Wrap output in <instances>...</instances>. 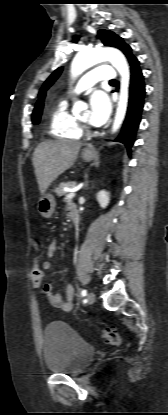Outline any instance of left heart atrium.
<instances>
[{
	"label": "left heart atrium",
	"mask_w": 168,
	"mask_h": 415,
	"mask_svg": "<svg viewBox=\"0 0 168 415\" xmlns=\"http://www.w3.org/2000/svg\"><path fill=\"white\" fill-rule=\"evenodd\" d=\"M111 103L107 94L97 90L90 97L89 123L102 126L109 118Z\"/></svg>",
	"instance_id": "left-heart-atrium-1"
}]
</instances>
